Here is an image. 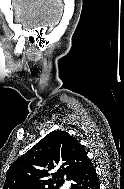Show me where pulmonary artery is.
<instances>
[{
  "instance_id": "pulmonary-artery-1",
  "label": "pulmonary artery",
  "mask_w": 124,
  "mask_h": 189,
  "mask_svg": "<svg viewBox=\"0 0 124 189\" xmlns=\"http://www.w3.org/2000/svg\"><path fill=\"white\" fill-rule=\"evenodd\" d=\"M69 185H70V184H69L68 182L65 183V187H69Z\"/></svg>"
}]
</instances>
